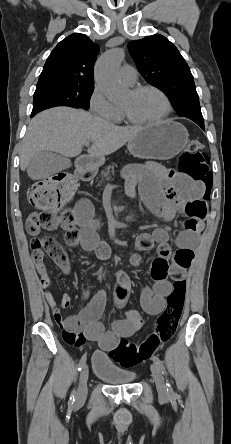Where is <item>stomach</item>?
<instances>
[{"label":"stomach","instance_id":"obj_1","mask_svg":"<svg viewBox=\"0 0 231 444\" xmlns=\"http://www.w3.org/2000/svg\"><path fill=\"white\" fill-rule=\"evenodd\" d=\"M186 128L173 120L148 125L128 141V150L142 159L167 160L179 154L188 143ZM104 163L103 157H81L77 168L81 172L93 171Z\"/></svg>","mask_w":231,"mask_h":444}]
</instances>
